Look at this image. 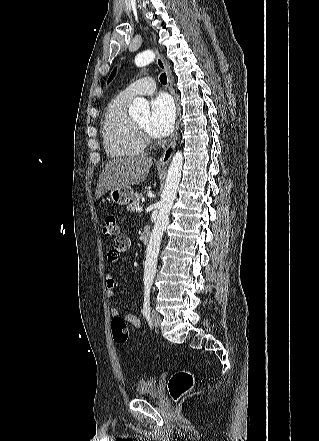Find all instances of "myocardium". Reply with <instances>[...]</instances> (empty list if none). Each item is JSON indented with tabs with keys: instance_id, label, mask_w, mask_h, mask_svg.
<instances>
[{
	"instance_id": "obj_1",
	"label": "myocardium",
	"mask_w": 319,
	"mask_h": 441,
	"mask_svg": "<svg viewBox=\"0 0 319 441\" xmlns=\"http://www.w3.org/2000/svg\"><path fill=\"white\" fill-rule=\"evenodd\" d=\"M136 127H137V129H138V131L140 133V136H141V138H142L144 143H148V144L153 143V140L150 138L147 130H145L139 124H136Z\"/></svg>"
}]
</instances>
